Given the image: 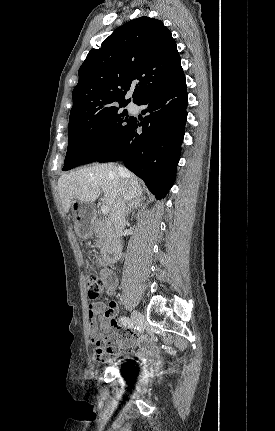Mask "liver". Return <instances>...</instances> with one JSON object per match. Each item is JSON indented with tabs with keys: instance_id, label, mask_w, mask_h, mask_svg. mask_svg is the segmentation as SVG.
Segmentation results:
<instances>
[{
	"instance_id": "obj_1",
	"label": "liver",
	"mask_w": 275,
	"mask_h": 431,
	"mask_svg": "<svg viewBox=\"0 0 275 431\" xmlns=\"http://www.w3.org/2000/svg\"><path fill=\"white\" fill-rule=\"evenodd\" d=\"M118 168L111 163L97 164L62 175L58 180V192L64 212H69L73 200L92 204L101 192L112 211L121 195L123 179L128 181L125 201L140 197L143 190L139 179L125 168L124 175H120Z\"/></svg>"
}]
</instances>
